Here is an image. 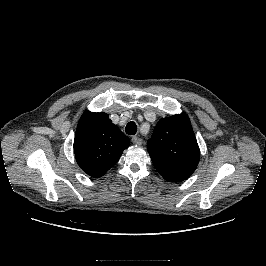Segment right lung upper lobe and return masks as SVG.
I'll return each mask as SVG.
<instances>
[{"label": "right lung upper lobe", "mask_w": 266, "mask_h": 266, "mask_svg": "<svg viewBox=\"0 0 266 266\" xmlns=\"http://www.w3.org/2000/svg\"><path fill=\"white\" fill-rule=\"evenodd\" d=\"M129 145V139L112 123L108 114L86 111L81 116L74 139V153L78 165L89 176H103Z\"/></svg>", "instance_id": "cb5924a9"}]
</instances>
